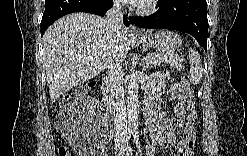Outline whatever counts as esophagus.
<instances>
[{
  "label": "esophagus",
  "mask_w": 247,
  "mask_h": 156,
  "mask_svg": "<svg viewBox=\"0 0 247 156\" xmlns=\"http://www.w3.org/2000/svg\"><path fill=\"white\" fill-rule=\"evenodd\" d=\"M130 30L132 33H140V29L133 24L130 25Z\"/></svg>",
  "instance_id": "1"
}]
</instances>
